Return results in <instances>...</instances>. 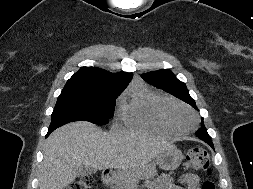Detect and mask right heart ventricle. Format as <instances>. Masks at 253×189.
Masks as SVG:
<instances>
[{"label":"right heart ventricle","mask_w":253,"mask_h":189,"mask_svg":"<svg viewBox=\"0 0 253 189\" xmlns=\"http://www.w3.org/2000/svg\"><path fill=\"white\" fill-rule=\"evenodd\" d=\"M173 102L166 96L144 87H135L121 100V117L125 126L165 136L178 134L163 118L162 108Z\"/></svg>","instance_id":"obj_1"}]
</instances>
